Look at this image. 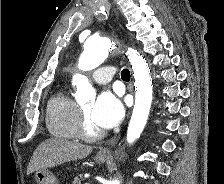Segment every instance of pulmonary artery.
<instances>
[{
  "instance_id": "obj_1",
  "label": "pulmonary artery",
  "mask_w": 224,
  "mask_h": 184,
  "mask_svg": "<svg viewBox=\"0 0 224 184\" xmlns=\"http://www.w3.org/2000/svg\"><path fill=\"white\" fill-rule=\"evenodd\" d=\"M114 75V69L110 67H102L92 74V78L98 84H106L113 79Z\"/></svg>"
}]
</instances>
